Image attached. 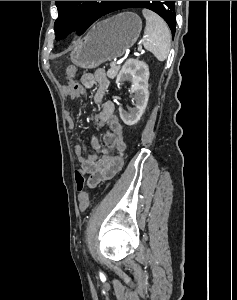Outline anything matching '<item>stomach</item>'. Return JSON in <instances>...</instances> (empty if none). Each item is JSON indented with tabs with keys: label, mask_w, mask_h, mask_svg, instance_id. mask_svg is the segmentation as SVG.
<instances>
[{
	"label": "stomach",
	"mask_w": 237,
	"mask_h": 300,
	"mask_svg": "<svg viewBox=\"0 0 237 300\" xmlns=\"http://www.w3.org/2000/svg\"><path fill=\"white\" fill-rule=\"evenodd\" d=\"M142 21L136 13H119L94 25L70 53L73 65L81 69H96L105 61L122 57L137 41Z\"/></svg>",
	"instance_id": "stomach-1"
}]
</instances>
